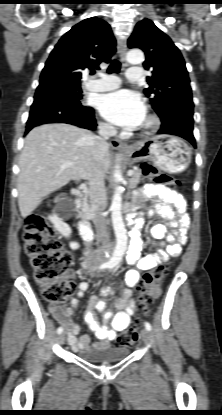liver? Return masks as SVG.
<instances>
[{
    "label": "liver",
    "mask_w": 222,
    "mask_h": 415,
    "mask_svg": "<svg viewBox=\"0 0 222 415\" xmlns=\"http://www.w3.org/2000/svg\"><path fill=\"white\" fill-rule=\"evenodd\" d=\"M93 135L65 123L45 124L32 129L25 138L19 159L18 205L26 218L43 198L71 180L90 179L94 165L90 140ZM109 150L101 168H110ZM64 161L73 163L61 168Z\"/></svg>",
    "instance_id": "liver-1"
}]
</instances>
